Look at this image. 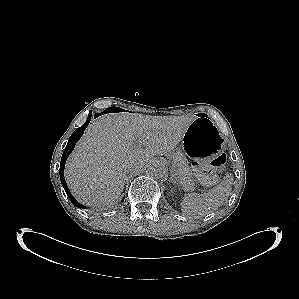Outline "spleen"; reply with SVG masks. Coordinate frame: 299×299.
Wrapping results in <instances>:
<instances>
[{"label": "spleen", "instance_id": "3e777b00", "mask_svg": "<svg viewBox=\"0 0 299 299\" xmlns=\"http://www.w3.org/2000/svg\"><path fill=\"white\" fill-rule=\"evenodd\" d=\"M233 175L227 173L223 182L202 194H185L181 202V211L184 215L200 219L218 207L228 199L232 190Z\"/></svg>", "mask_w": 299, "mask_h": 299}]
</instances>
